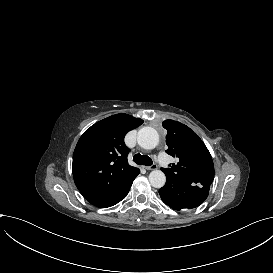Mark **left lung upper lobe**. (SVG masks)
Returning <instances> with one entry per match:
<instances>
[{
	"label": "left lung upper lobe",
	"instance_id": "obj_1",
	"mask_svg": "<svg viewBox=\"0 0 273 273\" xmlns=\"http://www.w3.org/2000/svg\"><path fill=\"white\" fill-rule=\"evenodd\" d=\"M162 125L168 132L166 152L177 157L179 162L161 170L167 177L192 185L210 187L214 179V165L202 140L180 122L165 120Z\"/></svg>",
	"mask_w": 273,
	"mask_h": 273
}]
</instances>
